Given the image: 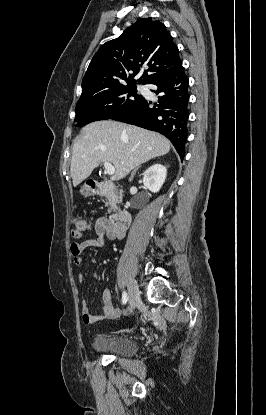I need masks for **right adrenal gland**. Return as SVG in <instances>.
Instances as JSON below:
<instances>
[{"mask_svg": "<svg viewBox=\"0 0 266 415\" xmlns=\"http://www.w3.org/2000/svg\"><path fill=\"white\" fill-rule=\"evenodd\" d=\"M141 167V165H139L138 167H136L133 172L131 173V176L129 178V181L131 182L134 178V175L136 174V172L138 171V169Z\"/></svg>", "mask_w": 266, "mask_h": 415, "instance_id": "right-adrenal-gland-1", "label": "right adrenal gland"}]
</instances>
